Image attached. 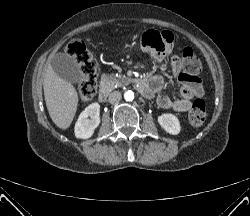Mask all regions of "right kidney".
<instances>
[{
	"instance_id": "obj_1",
	"label": "right kidney",
	"mask_w": 250,
	"mask_h": 216,
	"mask_svg": "<svg viewBox=\"0 0 250 216\" xmlns=\"http://www.w3.org/2000/svg\"><path fill=\"white\" fill-rule=\"evenodd\" d=\"M100 124V105L92 103L85 108L75 124V136L81 139L90 138Z\"/></svg>"
}]
</instances>
